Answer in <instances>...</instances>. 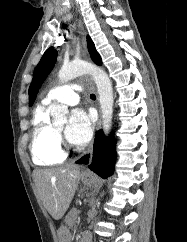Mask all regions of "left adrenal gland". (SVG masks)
<instances>
[{
	"instance_id": "1",
	"label": "left adrenal gland",
	"mask_w": 187,
	"mask_h": 242,
	"mask_svg": "<svg viewBox=\"0 0 187 242\" xmlns=\"http://www.w3.org/2000/svg\"><path fill=\"white\" fill-rule=\"evenodd\" d=\"M91 205H94L95 201H94V198H91Z\"/></svg>"
}]
</instances>
